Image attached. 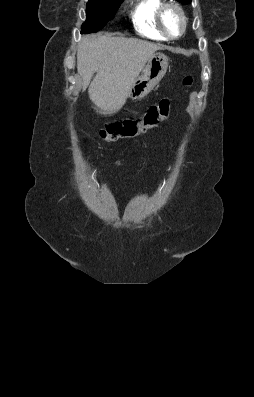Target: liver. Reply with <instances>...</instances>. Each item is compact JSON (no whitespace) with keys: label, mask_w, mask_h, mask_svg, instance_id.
Instances as JSON below:
<instances>
[{"label":"liver","mask_w":254,"mask_h":397,"mask_svg":"<svg viewBox=\"0 0 254 397\" xmlns=\"http://www.w3.org/2000/svg\"><path fill=\"white\" fill-rule=\"evenodd\" d=\"M161 47L136 38L108 35L83 37L78 46L77 71L83 89L88 87L99 114L119 111L126 102L130 86L149 58ZM96 73L93 81L91 79Z\"/></svg>","instance_id":"obj_1"}]
</instances>
